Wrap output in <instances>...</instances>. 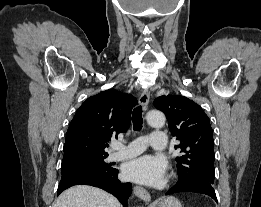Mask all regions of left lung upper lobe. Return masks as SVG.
<instances>
[{"instance_id":"left-lung-upper-lobe-1","label":"left lung upper lobe","mask_w":261,"mask_h":207,"mask_svg":"<svg viewBox=\"0 0 261 207\" xmlns=\"http://www.w3.org/2000/svg\"><path fill=\"white\" fill-rule=\"evenodd\" d=\"M154 106L168 120L169 129L180 141L182 156L176 158L179 178L214 183L215 154L210 120L203 109L184 96L163 95L154 100Z\"/></svg>"}]
</instances>
